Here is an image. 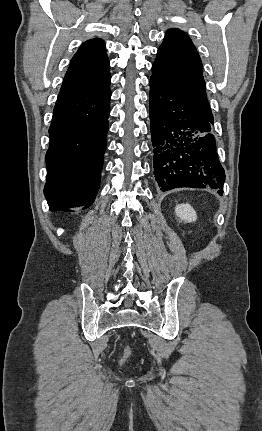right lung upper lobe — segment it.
<instances>
[{"instance_id":"right-lung-upper-lobe-1","label":"right lung upper lobe","mask_w":262,"mask_h":431,"mask_svg":"<svg viewBox=\"0 0 262 431\" xmlns=\"http://www.w3.org/2000/svg\"><path fill=\"white\" fill-rule=\"evenodd\" d=\"M104 46L100 38L81 45L71 60L60 93H96L109 87L110 65Z\"/></svg>"}]
</instances>
